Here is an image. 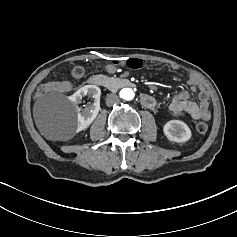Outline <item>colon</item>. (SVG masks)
<instances>
[{"label":"colon","mask_w":237,"mask_h":237,"mask_svg":"<svg viewBox=\"0 0 237 237\" xmlns=\"http://www.w3.org/2000/svg\"><path fill=\"white\" fill-rule=\"evenodd\" d=\"M111 64L116 66H125L132 70H139L143 66L142 60L137 58H129L126 61L113 60ZM72 73L74 77L80 78L84 75V69L81 66H76L73 69ZM50 91L51 86L49 84H44L38 88L37 95L38 97H42ZM196 130L200 134H205L208 131V125L205 122H199L196 125Z\"/></svg>","instance_id":"5ec220e1"}]
</instances>
